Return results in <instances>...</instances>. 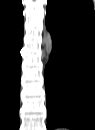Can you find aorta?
I'll return each instance as SVG.
<instances>
[{"label":"aorta","instance_id":"1","mask_svg":"<svg viewBox=\"0 0 95 130\" xmlns=\"http://www.w3.org/2000/svg\"><path fill=\"white\" fill-rule=\"evenodd\" d=\"M43 45H44L46 57L47 59H49L53 50V40H52L51 33L47 30L44 31V34H43Z\"/></svg>","mask_w":95,"mask_h":130}]
</instances>
